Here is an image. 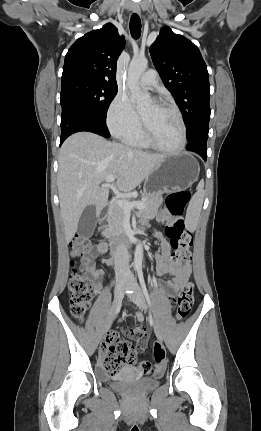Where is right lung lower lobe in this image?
<instances>
[{
  "mask_svg": "<svg viewBox=\"0 0 261 431\" xmlns=\"http://www.w3.org/2000/svg\"><path fill=\"white\" fill-rule=\"evenodd\" d=\"M87 131L109 137L106 123L89 118L69 107L62 108L60 146L71 134Z\"/></svg>",
  "mask_w": 261,
  "mask_h": 431,
  "instance_id": "1",
  "label": "right lung lower lobe"
}]
</instances>
